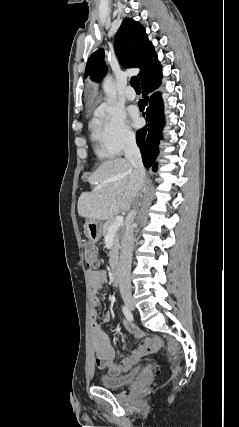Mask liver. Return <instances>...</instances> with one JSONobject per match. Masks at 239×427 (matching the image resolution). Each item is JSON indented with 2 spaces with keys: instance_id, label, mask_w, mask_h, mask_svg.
Listing matches in <instances>:
<instances>
[{
  "instance_id": "6515ba94",
  "label": "liver",
  "mask_w": 239,
  "mask_h": 427,
  "mask_svg": "<svg viewBox=\"0 0 239 427\" xmlns=\"http://www.w3.org/2000/svg\"><path fill=\"white\" fill-rule=\"evenodd\" d=\"M91 192L78 199V214L94 220H109L129 211L140 191L139 176L125 158L104 161L89 176Z\"/></svg>"
}]
</instances>
